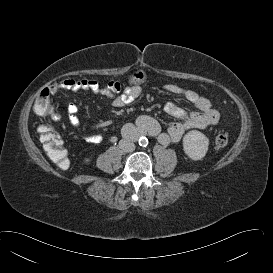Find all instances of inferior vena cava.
<instances>
[{
  "mask_svg": "<svg viewBox=\"0 0 273 273\" xmlns=\"http://www.w3.org/2000/svg\"><path fill=\"white\" fill-rule=\"evenodd\" d=\"M119 146L125 152H131L135 148L134 144L127 141V140H121L120 143H119Z\"/></svg>",
  "mask_w": 273,
  "mask_h": 273,
  "instance_id": "obj_1",
  "label": "inferior vena cava"
}]
</instances>
